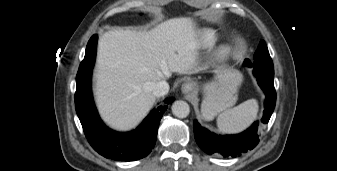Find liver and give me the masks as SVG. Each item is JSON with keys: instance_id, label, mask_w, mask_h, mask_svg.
Instances as JSON below:
<instances>
[{"instance_id": "6515ba94", "label": "liver", "mask_w": 337, "mask_h": 171, "mask_svg": "<svg viewBox=\"0 0 337 171\" xmlns=\"http://www.w3.org/2000/svg\"><path fill=\"white\" fill-rule=\"evenodd\" d=\"M199 43L190 18H173L150 31L114 30L98 43L95 96L105 122L134 128L156 97L152 83L172 73H194Z\"/></svg>"}]
</instances>
